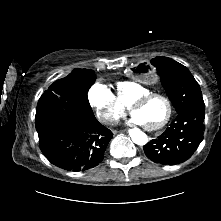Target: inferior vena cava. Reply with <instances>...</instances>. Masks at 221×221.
I'll use <instances>...</instances> for the list:
<instances>
[{"label":"inferior vena cava","mask_w":221,"mask_h":221,"mask_svg":"<svg viewBox=\"0 0 221 221\" xmlns=\"http://www.w3.org/2000/svg\"><path fill=\"white\" fill-rule=\"evenodd\" d=\"M108 120H109L111 123L115 122V119H114L113 117H110Z\"/></svg>","instance_id":"inferior-vena-cava-1"}]
</instances>
